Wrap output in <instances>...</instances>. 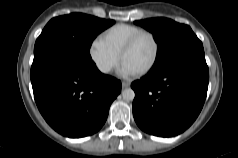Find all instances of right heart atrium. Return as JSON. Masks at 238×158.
<instances>
[{
	"label": "right heart atrium",
	"mask_w": 238,
	"mask_h": 158,
	"mask_svg": "<svg viewBox=\"0 0 238 158\" xmlns=\"http://www.w3.org/2000/svg\"><path fill=\"white\" fill-rule=\"evenodd\" d=\"M89 54L98 70L105 74L109 73L119 62V54L100 37L91 42Z\"/></svg>",
	"instance_id": "d8ad5b80"
}]
</instances>
